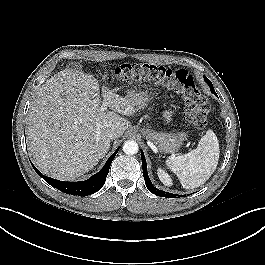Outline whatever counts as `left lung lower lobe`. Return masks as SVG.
Instances as JSON below:
<instances>
[{"label":"left lung lower lobe","instance_id":"obj_1","mask_svg":"<svg viewBox=\"0 0 265 265\" xmlns=\"http://www.w3.org/2000/svg\"><path fill=\"white\" fill-rule=\"evenodd\" d=\"M204 80L206 81V83L210 86V90L211 92L217 96L216 92L214 91V88H213V85L212 83L210 82V80L207 78V77H204ZM141 159H142V168H143V177H144V180H145V184L148 188V190L155 194V195H158V196H161V197H167V198H176L177 196L179 197V195H176V194H172V193H168V192H164L162 190H159L157 188H155L150 179H149V176H148V173H147V165H146V160H145V156L143 154V152L141 151Z\"/></svg>","mask_w":265,"mask_h":265}]
</instances>
